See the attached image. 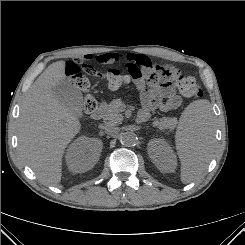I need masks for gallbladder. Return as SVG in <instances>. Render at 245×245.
I'll return each instance as SVG.
<instances>
[{
	"instance_id": "1",
	"label": "gallbladder",
	"mask_w": 245,
	"mask_h": 245,
	"mask_svg": "<svg viewBox=\"0 0 245 245\" xmlns=\"http://www.w3.org/2000/svg\"><path fill=\"white\" fill-rule=\"evenodd\" d=\"M52 93L57 101L66 106L75 115L80 116L83 109V97L79 89L68 79L60 81Z\"/></svg>"
}]
</instances>
